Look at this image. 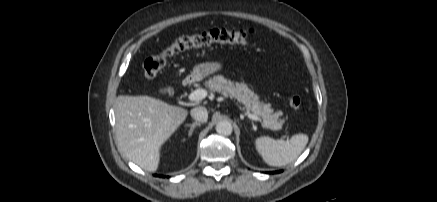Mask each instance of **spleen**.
<instances>
[{
    "label": "spleen",
    "mask_w": 437,
    "mask_h": 202,
    "mask_svg": "<svg viewBox=\"0 0 437 202\" xmlns=\"http://www.w3.org/2000/svg\"><path fill=\"white\" fill-rule=\"evenodd\" d=\"M308 136L295 134L290 140H275L262 136L255 140L256 149L270 166H285L298 158L308 143Z\"/></svg>",
    "instance_id": "1"
}]
</instances>
